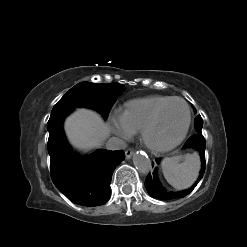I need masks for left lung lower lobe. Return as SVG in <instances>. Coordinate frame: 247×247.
<instances>
[{
    "instance_id": "1",
    "label": "left lung lower lobe",
    "mask_w": 247,
    "mask_h": 247,
    "mask_svg": "<svg viewBox=\"0 0 247 247\" xmlns=\"http://www.w3.org/2000/svg\"><path fill=\"white\" fill-rule=\"evenodd\" d=\"M184 147L195 149L201 158L202 168L200 172V176L198 180L195 182V184L183 191L179 192H168L164 190L161 185L159 184V181L157 179V171L156 169L153 171V174H149L148 177L145 180V186L148 190V193L157 199L162 200H170V199H177L182 198L188 195L198 184V182L203 177V174L205 172V139L201 134H195L191 136L185 143ZM160 159H156V162L158 163Z\"/></svg>"
}]
</instances>
